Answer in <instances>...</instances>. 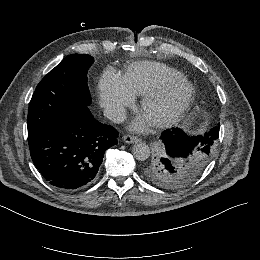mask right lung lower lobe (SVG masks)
I'll return each mask as SVG.
<instances>
[{
  "label": "right lung lower lobe",
  "instance_id": "1",
  "mask_svg": "<svg viewBox=\"0 0 260 260\" xmlns=\"http://www.w3.org/2000/svg\"><path fill=\"white\" fill-rule=\"evenodd\" d=\"M117 130L97 121L88 107L28 137L31 158L45 180L65 190L89 186L105 151L117 144Z\"/></svg>",
  "mask_w": 260,
  "mask_h": 260
}]
</instances>
